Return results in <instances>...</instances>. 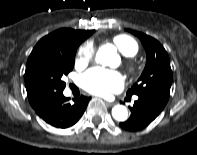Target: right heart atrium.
I'll list each match as a JSON object with an SVG mask.
<instances>
[{
    "label": "right heart atrium",
    "mask_w": 197,
    "mask_h": 155,
    "mask_svg": "<svg viewBox=\"0 0 197 155\" xmlns=\"http://www.w3.org/2000/svg\"><path fill=\"white\" fill-rule=\"evenodd\" d=\"M95 48L92 43L87 42L83 44L77 54L76 63L78 65H86L88 64L94 57Z\"/></svg>",
    "instance_id": "right-heart-atrium-1"
}]
</instances>
